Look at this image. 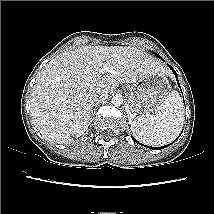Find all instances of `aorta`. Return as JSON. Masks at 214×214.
Here are the masks:
<instances>
[{"label":"aorta","mask_w":214,"mask_h":214,"mask_svg":"<svg viewBox=\"0 0 214 214\" xmlns=\"http://www.w3.org/2000/svg\"><path fill=\"white\" fill-rule=\"evenodd\" d=\"M123 96L120 95V94H115L112 99H111V102L114 106H120L123 104Z\"/></svg>","instance_id":"obj_1"}]
</instances>
